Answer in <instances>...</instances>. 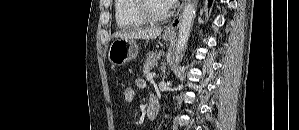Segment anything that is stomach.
I'll list each match as a JSON object with an SVG mask.
<instances>
[{"label": "stomach", "mask_w": 299, "mask_h": 130, "mask_svg": "<svg viewBox=\"0 0 299 130\" xmlns=\"http://www.w3.org/2000/svg\"><path fill=\"white\" fill-rule=\"evenodd\" d=\"M165 40H172L174 34H163ZM139 53V46L134 39L114 40L108 52V58L113 65H123L137 57Z\"/></svg>", "instance_id": "stomach-1"}]
</instances>
